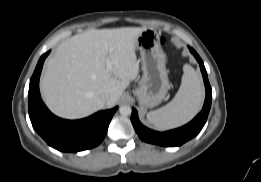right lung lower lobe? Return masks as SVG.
Segmentation results:
<instances>
[{"instance_id": "obj_1", "label": "right lung lower lobe", "mask_w": 261, "mask_h": 182, "mask_svg": "<svg viewBox=\"0 0 261 182\" xmlns=\"http://www.w3.org/2000/svg\"><path fill=\"white\" fill-rule=\"evenodd\" d=\"M49 53L41 56L29 85V117L35 131L48 145L63 152H78L99 145L117 107L75 121L54 116L42 102L39 92L41 70Z\"/></svg>"}]
</instances>
